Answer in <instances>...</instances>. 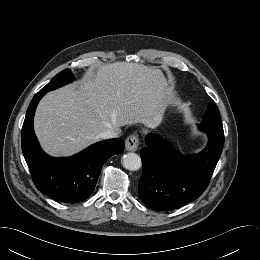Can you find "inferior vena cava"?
<instances>
[{
	"mask_svg": "<svg viewBox=\"0 0 260 260\" xmlns=\"http://www.w3.org/2000/svg\"><path fill=\"white\" fill-rule=\"evenodd\" d=\"M117 137H118V133L112 129H107L104 132L99 134V138L101 139H111Z\"/></svg>",
	"mask_w": 260,
	"mask_h": 260,
	"instance_id": "602c4592",
	"label": "inferior vena cava"
}]
</instances>
